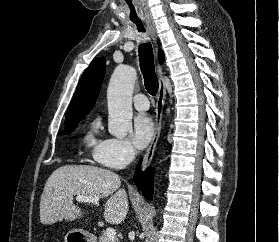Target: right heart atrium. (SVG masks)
<instances>
[{
  "mask_svg": "<svg viewBox=\"0 0 279 242\" xmlns=\"http://www.w3.org/2000/svg\"><path fill=\"white\" fill-rule=\"evenodd\" d=\"M136 152L128 140L108 138L94 153L99 164L110 169H121L134 160Z\"/></svg>",
  "mask_w": 279,
  "mask_h": 242,
  "instance_id": "right-heart-atrium-1",
  "label": "right heart atrium"
}]
</instances>
